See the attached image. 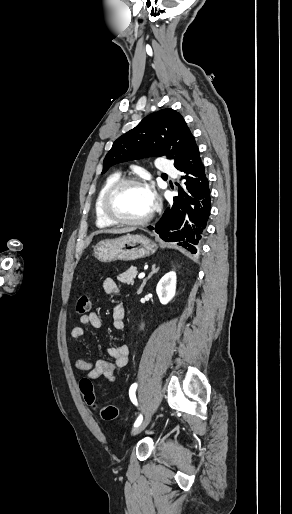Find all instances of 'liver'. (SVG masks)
I'll use <instances>...</instances> for the list:
<instances>
[{
  "label": "liver",
  "instance_id": "liver-1",
  "mask_svg": "<svg viewBox=\"0 0 292 514\" xmlns=\"http://www.w3.org/2000/svg\"><path fill=\"white\" fill-rule=\"evenodd\" d=\"M102 232H105V234H126V232H133V228H122V230L113 228V230H101V232H95V234H102Z\"/></svg>",
  "mask_w": 292,
  "mask_h": 514
}]
</instances>
